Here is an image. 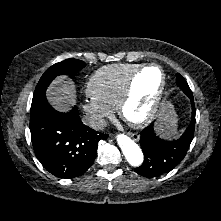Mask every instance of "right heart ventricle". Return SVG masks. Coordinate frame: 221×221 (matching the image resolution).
I'll return each instance as SVG.
<instances>
[{
  "instance_id": "obj_1",
  "label": "right heart ventricle",
  "mask_w": 221,
  "mask_h": 221,
  "mask_svg": "<svg viewBox=\"0 0 221 221\" xmlns=\"http://www.w3.org/2000/svg\"><path fill=\"white\" fill-rule=\"evenodd\" d=\"M140 66L139 64H115L100 68L86 84L87 95L111 109L117 108L129 77Z\"/></svg>"
}]
</instances>
